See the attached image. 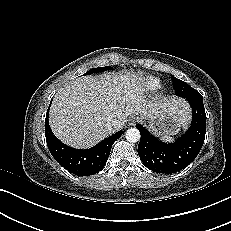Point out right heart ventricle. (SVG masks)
Here are the masks:
<instances>
[{
  "instance_id": "obj_1",
  "label": "right heart ventricle",
  "mask_w": 231,
  "mask_h": 231,
  "mask_svg": "<svg viewBox=\"0 0 231 231\" xmlns=\"http://www.w3.org/2000/svg\"><path fill=\"white\" fill-rule=\"evenodd\" d=\"M140 84L147 90L154 92L161 87V83L158 79L155 78H145L140 81Z\"/></svg>"
}]
</instances>
